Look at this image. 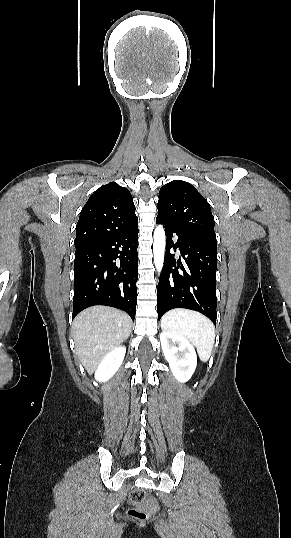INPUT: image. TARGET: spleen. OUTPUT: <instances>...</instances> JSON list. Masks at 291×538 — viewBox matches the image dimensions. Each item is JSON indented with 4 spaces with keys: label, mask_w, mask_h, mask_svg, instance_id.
Listing matches in <instances>:
<instances>
[{
    "label": "spleen",
    "mask_w": 291,
    "mask_h": 538,
    "mask_svg": "<svg viewBox=\"0 0 291 538\" xmlns=\"http://www.w3.org/2000/svg\"><path fill=\"white\" fill-rule=\"evenodd\" d=\"M161 328L189 339L196 346L200 359L208 361L215 342V327L206 316L193 310L176 308L162 316Z\"/></svg>",
    "instance_id": "3e777b00"
}]
</instances>
